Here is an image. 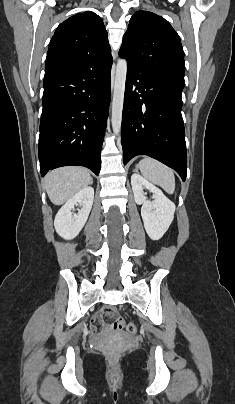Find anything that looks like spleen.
<instances>
[{"label":"spleen","mask_w":235,"mask_h":404,"mask_svg":"<svg viewBox=\"0 0 235 404\" xmlns=\"http://www.w3.org/2000/svg\"><path fill=\"white\" fill-rule=\"evenodd\" d=\"M137 168L140 169L146 179L159 185L167 193H174L175 177L173 171L169 167L153 158L145 157L139 162Z\"/></svg>","instance_id":"1"}]
</instances>
